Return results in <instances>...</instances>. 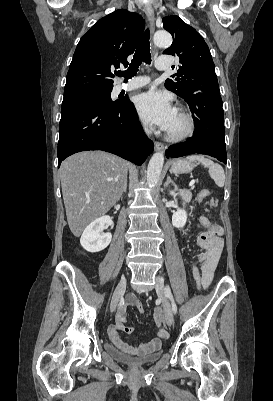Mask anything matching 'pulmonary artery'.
I'll return each instance as SVG.
<instances>
[{"label": "pulmonary artery", "instance_id": "1", "mask_svg": "<svg viewBox=\"0 0 273 401\" xmlns=\"http://www.w3.org/2000/svg\"><path fill=\"white\" fill-rule=\"evenodd\" d=\"M156 63L158 65V69L160 72H167L169 69V66L167 64V60L165 57H158L156 60ZM136 80H132L127 81V80H121L119 82V87L121 89H125L126 91L128 90H133L135 88H145L147 86L146 82H149L150 80H152V77H150L149 75H143V74H139L136 77ZM130 86V88H129Z\"/></svg>", "mask_w": 273, "mask_h": 401}]
</instances>
